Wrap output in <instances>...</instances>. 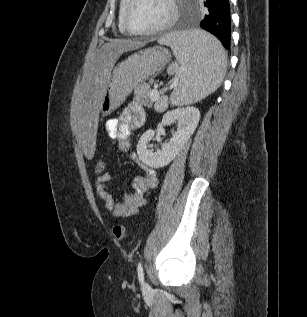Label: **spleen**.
Instances as JSON below:
<instances>
[{
  "label": "spleen",
  "instance_id": "1",
  "mask_svg": "<svg viewBox=\"0 0 307 317\" xmlns=\"http://www.w3.org/2000/svg\"><path fill=\"white\" fill-rule=\"evenodd\" d=\"M156 43L170 46L176 58L167 70L168 74L179 77L170 96L172 105L198 102L220 86L227 57L214 36L198 30L197 26H184L179 33H161Z\"/></svg>",
  "mask_w": 307,
  "mask_h": 317
}]
</instances>
